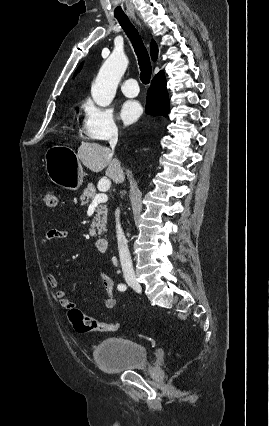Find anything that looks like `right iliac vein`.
Returning a JSON list of instances; mask_svg holds the SVG:
<instances>
[{
  "mask_svg": "<svg viewBox=\"0 0 269 426\" xmlns=\"http://www.w3.org/2000/svg\"><path fill=\"white\" fill-rule=\"evenodd\" d=\"M126 281H127V283L132 287V288H134L137 292H140L141 291V286H140V284L138 283V281L136 280V278L135 277H127L126 278Z\"/></svg>",
  "mask_w": 269,
  "mask_h": 426,
  "instance_id": "63e3f726",
  "label": "right iliac vein"
}]
</instances>
